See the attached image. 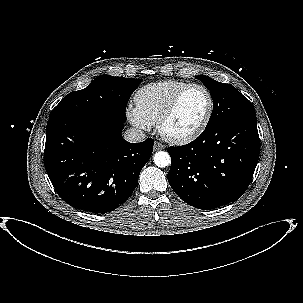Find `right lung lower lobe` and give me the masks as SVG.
I'll list each match as a JSON object with an SVG mask.
<instances>
[{
	"label": "right lung lower lobe",
	"instance_id": "obj_1",
	"mask_svg": "<svg viewBox=\"0 0 303 303\" xmlns=\"http://www.w3.org/2000/svg\"><path fill=\"white\" fill-rule=\"evenodd\" d=\"M123 127L124 122L105 115L48 120L44 165L65 202L100 215L130 197L154 142L129 143L121 136Z\"/></svg>",
	"mask_w": 303,
	"mask_h": 303
}]
</instances>
